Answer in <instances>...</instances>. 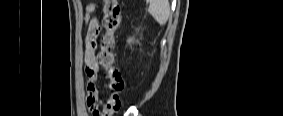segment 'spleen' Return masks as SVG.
Listing matches in <instances>:
<instances>
[{"instance_id":"spleen-1","label":"spleen","mask_w":283,"mask_h":116,"mask_svg":"<svg viewBox=\"0 0 283 116\" xmlns=\"http://www.w3.org/2000/svg\"><path fill=\"white\" fill-rule=\"evenodd\" d=\"M148 12L159 25H165L170 16L168 0H150Z\"/></svg>"}]
</instances>
